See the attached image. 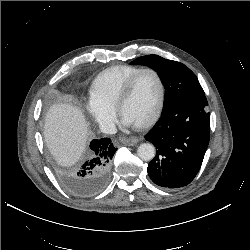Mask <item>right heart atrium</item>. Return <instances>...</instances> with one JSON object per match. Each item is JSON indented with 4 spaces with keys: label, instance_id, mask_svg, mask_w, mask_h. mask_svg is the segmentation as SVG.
Returning <instances> with one entry per match:
<instances>
[{
    "label": "right heart atrium",
    "instance_id": "1",
    "mask_svg": "<svg viewBox=\"0 0 250 250\" xmlns=\"http://www.w3.org/2000/svg\"><path fill=\"white\" fill-rule=\"evenodd\" d=\"M85 113L102 129L107 130L113 125L114 111L101 106L91 99L85 105Z\"/></svg>",
    "mask_w": 250,
    "mask_h": 250
}]
</instances>
